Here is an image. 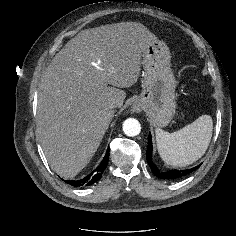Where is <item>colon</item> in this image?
I'll return each mask as SVG.
<instances>
[{
    "label": "colon",
    "instance_id": "obj_1",
    "mask_svg": "<svg viewBox=\"0 0 236 236\" xmlns=\"http://www.w3.org/2000/svg\"><path fill=\"white\" fill-rule=\"evenodd\" d=\"M191 80V77H187V81H190Z\"/></svg>",
    "mask_w": 236,
    "mask_h": 236
}]
</instances>
